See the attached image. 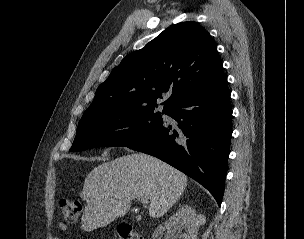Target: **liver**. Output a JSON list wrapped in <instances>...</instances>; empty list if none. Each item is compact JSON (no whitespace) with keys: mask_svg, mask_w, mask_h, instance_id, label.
<instances>
[{"mask_svg":"<svg viewBox=\"0 0 304 239\" xmlns=\"http://www.w3.org/2000/svg\"><path fill=\"white\" fill-rule=\"evenodd\" d=\"M187 176L172 166L143 153H134L95 167L84 181L86 201L82 229L92 231L124 216L131 201L146 198L149 215L160 217L180 198Z\"/></svg>","mask_w":304,"mask_h":239,"instance_id":"6515ba94","label":"liver"}]
</instances>
